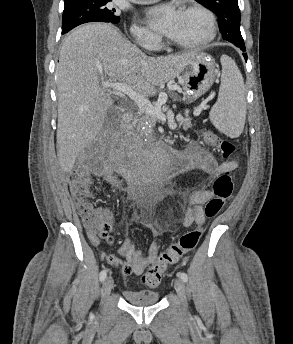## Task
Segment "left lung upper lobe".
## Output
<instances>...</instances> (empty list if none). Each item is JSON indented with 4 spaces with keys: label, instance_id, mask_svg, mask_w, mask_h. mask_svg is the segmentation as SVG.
Instances as JSON below:
<instances>
[{
    "label": "left lung upper lobe",
    "instance_id": "5c2ea615",
    "mask_svg": "<svg viewBox=\"0 0 293 344\" xmlns=\"http://www.w3.org/2000/svg\"><path fill=\"white\" fill-rule=\"evenodd\" d=\"M219 17V28L223 39L236 46L244 45L240 32V10L238 0H196Z\"/></svg>",
    "mask_w": 293,
    "mask_h": 344
}]
</instances>
